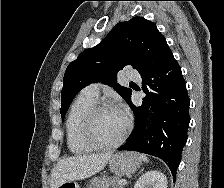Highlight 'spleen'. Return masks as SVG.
Wrapping results in <instances>:
<instances>
[{
  "label": "spleen",
  "mask_w": 224,
  "mask_h": 188,
  "mask_svg": "<svg viewBox=\"0 0 224 188\" xmlns=\"http://www.w3.org/2000/svg\"><path fill=\"white\" fill-rule=\"evenodd\" d=\"M140 158H141V160H143L144 162H146V163H148L149 162V160H148V158H147V156L146 155H140Z\"/></svg>",
  "instance_id": "spleen-1"
}]
</instances>
